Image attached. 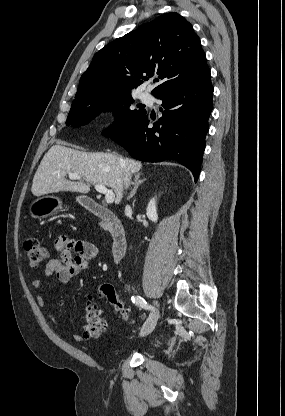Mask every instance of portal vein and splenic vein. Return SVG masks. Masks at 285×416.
Returning <instances> with one entry per match:
<instances>
[{"mask_svg": "<svg viewBox=\"0 0 285 416\" xmlns=\"http://www.w3.org/2000/svg\"><path fill=\"white\" fill-rule=\"evenodd\" d=\"M68 176L69 180H82V176H79V174H68ZM94 188L96 192H99V194H105L107 204H113L115 194L112 190H107L106 186H99V184H96Z\"/></svg>", "mask_w": 285, "mask_h": 416, "instance_id": "1", "label": "portal vein and splenic vein"}]
</instances>
